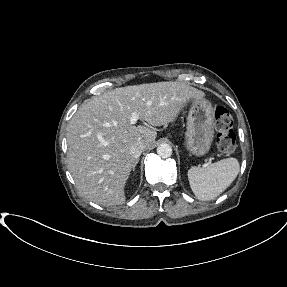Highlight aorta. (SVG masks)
I'll return each mask as SVG.
<instances>
[{
	"mask_svg": "<svg viewBox=\"0 0 287 287\" xmlns=\"http://www.w3.org/2000/svg\"><path fill=\"white\" fill-rule=\"evenodd\" d=\"M157 154L161 158H168L172 155V147L167 143H161L157 147Z\"/></svg>",
	"mask_w": 287,
	"mask_h": 287,
	"instance_id": "obj_1",
	"label": "aorta"
}]
</instances>
